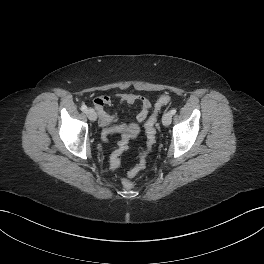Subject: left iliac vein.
<instances>
[{
  "mask_svg": "<svg viewBox=\"0 0 264 264\" xmlns=\"http://www.w3.org/2000/svg\"><path fill=\"white\" fill-rule=\"evenodd\" d=\"M172 121V114L170 112H166L164 113L163 117H162V123L164 126H169L171 124Z\"/></svg>",
  "mask_w": 264,
  "mask_h": 264,
  "instance_id": "4c4485c4",
  "label": "left iliac vein"
}]
</instances>
